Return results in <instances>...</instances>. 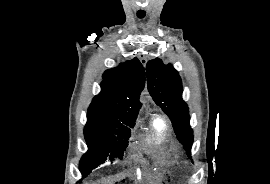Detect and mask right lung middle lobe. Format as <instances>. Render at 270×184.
<instances>
[{"label":"right lung middle lobe","mask_w":270,"mask_h":184,"mask_svg":"<svg viewBox=\"0 0 270 184\" xmlns=\"http://www.w3.org/2000/svg\"><path fill=\"white\" fill-rule=\"evenodd\" d=\"M87 118L84 136L89 150L82 157L79 165L83 177L103 164L108 156L110 160L114 157L122 159L123 151L128 145L130 128L135 124V121L122 123L95 120L89 116Z\"/></svg>","instance_id":"obj_1"}]
</instances>
